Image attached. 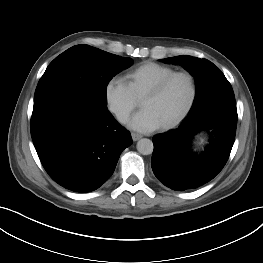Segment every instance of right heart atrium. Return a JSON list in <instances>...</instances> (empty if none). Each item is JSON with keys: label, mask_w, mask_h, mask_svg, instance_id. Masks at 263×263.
I'll list each match as a JSON object with an SVG mask.
<instances>
[{"label": "right heart atrium", "mask_w": 263, "mask_h": 263, "mask_svg": "<svg viewBox=\"0 0 263 263\" xmlns=\"http://www.w3.org/2000/svg\"><path fill=\"white\" fill-rule=\"evenodd\" d=\"M104 100L108 111L120 123L127 120L138 105L125 82L118 78H110L104 86Z\"/></svg>", "instance_id": "1"}]
</instances>
